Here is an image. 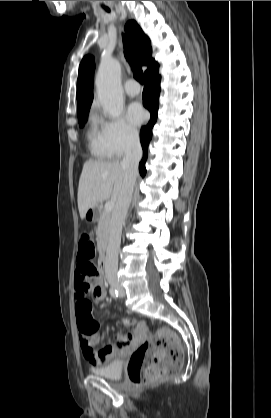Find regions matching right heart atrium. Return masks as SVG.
<instances>
[{
    "label": "right heart atrium",
    "mask_w": 271,
    "mask_h": 418,
    "mask_svg": "<svg viewBox=\"0 0 271 418\" xmlns=\"http://www.w3.org/2000/svg\"><path fill=\"white\" fill-rule=\"evenodd\" d=\"M102 126L106 144L113 156H121L138 145V131L124 117L105 121Z\"/></svg>",
    "instance_id": "1"
}]
</instances>
